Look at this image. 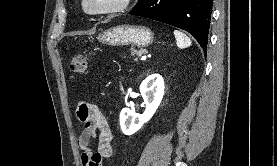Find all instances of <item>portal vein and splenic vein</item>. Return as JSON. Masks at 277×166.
<instances>
[{
	"instance_id": "portal-vein-and-splenic-vein-1",
	"label": "portal vein and splenic vein",
	"mask_w": 277,
	"mask_h": 166,
	"mask_svg": "<svg viewBox=\"0 0 277 166\" xmlns=\"http://www.w3.org/2000/svg\"><path fill=\"white\" fill-rule=\"evenodd\" d=\"M141 60H146V56H145V55L142 56V57H141Z\"/></svg>"
}]
</instances>
